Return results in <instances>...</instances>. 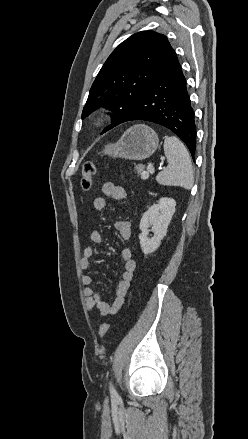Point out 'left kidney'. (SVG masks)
<instances>
[{"mask_svg":"<svg viewBox=\"0 0 248 439\" xmlns=\"http://www.w3.org/2000/svg\"><path fill=\"white\" fill-rule=\"evenodd\" d=\"M176 202L172 198H160L156 204L148 207L140 221V246L145 255L153 253L167 233L168 226L175 213ZM151 227V229H149ZM153 237L149 238V232Z\"/></svg>","mask_w":248,"mask_h":439,"instance_id":"5707ae66","label":"left kidney"}]
</instances>
